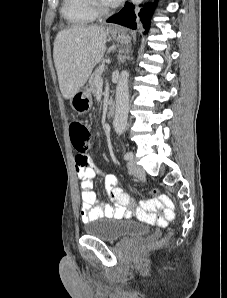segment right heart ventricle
I'll use <instances>...</instances> for the list:
<instances>
[{"mask_svg":"<svg viewBox=\"0 0 227 298\" xmlns=\"http://www.w3.org/2000/svg\"><path fill=\"white\" fill-rule=\"evenodd\" d=\"M61 13L64 19L74 26L88 25L97 17L91 0H63Z\"/></svg>","mask_w":227,"mask_h":298,"instance_id":"obj_1","label":"right heart ventricle"}]
</instances>
